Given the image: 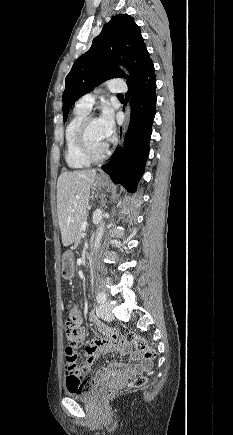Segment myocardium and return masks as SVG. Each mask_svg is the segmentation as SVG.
<instances>
[{
    "label": "myocardium",
    "mask_w": 233,
    "mask_h": 435,
    "mask_svg": "<svg viewBox=\"0 0 233 435\" xmlns=\"http://www.w3.org/2000/svg\"><path fill=\"white\" fill-rule=\"evenodd\" d=\"M94 120H97V118L94 116H86L82 120L76 132V141H77L78 148L85 159H87L90 162H100L106 159L107 156L109 155L110 143L107 144L105 150L102 153L96 154L91 150L88 144L87 131L90 123L93 122Z\"/></svg>",
    "instance_id": "myocardium-1"
}]
</instances>
